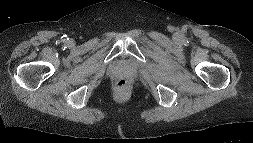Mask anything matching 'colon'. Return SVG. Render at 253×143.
Returning a JSON list of instances; mask_svg holds the SVG:
<instances>
[{"label":"colon","mask_w":253,"mask_h":143,"mask_svg":"<svg viewBox=\"0 0 253 143\" xmlns=\"http://www.w3.org/2000/svg\"><path fill=\"white\" fill-rule=\"evenodd\" d=\"M128 87V81L124 78H120L116 81V88L119 90H124Z\"/></svg>","instance_id":"colon-1"}]
</instances>
